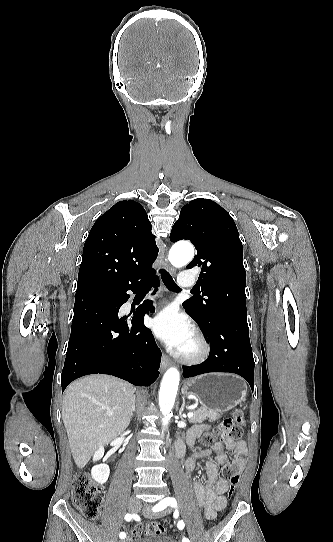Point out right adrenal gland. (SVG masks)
<instances>
[{
    "instance_id": "right-adrenal-gland-1",
    "label": "right adrenal gland",
    "mask_w": 333,
    "mask_h": 542,
    "mask_svg": "<svg viewBox=\"0 0 333 542\" xmlns=\"http://www.w3.org/2000/svg\"><path fill=\"white\" fill-rule=\"evenodd\" d=\"M133 412H136V410H135V402H133V404H132L131 418H133Z\"/></svg>"
}]
</instances>
